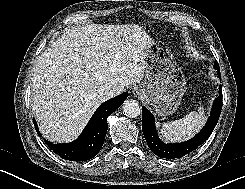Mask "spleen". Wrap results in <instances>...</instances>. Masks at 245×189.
I'll return each instance as SVG.
<instances>
[{"label":"spleen","instance_id":"spleen-1","mask_svg":"<svg viewBox=\"0 0 245 189\" xmlns=\"http://www.w3.org/2000/svg\"><path fill=\"white\" fill-rule=\"evenodd\" d=\"M205 124L204 109L199 108L198 112L193 111L183 118L171 122H166L163 125L157 123L161 134L168 141H182L191 138Z\"/></svg>","mask_w":245,"mask_h":189}]
</instances>
